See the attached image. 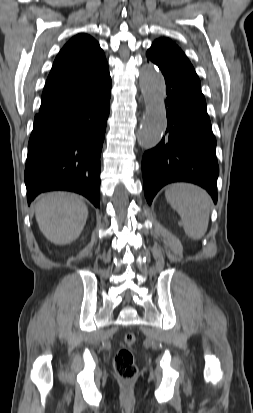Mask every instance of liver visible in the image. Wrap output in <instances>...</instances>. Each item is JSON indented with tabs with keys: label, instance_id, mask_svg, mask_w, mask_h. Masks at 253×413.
Returning a JSON list of instances; mask_svg holds the SVG:
<instances>
[{
	"label": "liver",
	"instance_id": "obj_1",
	"mask_svg": "<svg viewBox=\"0 0 253 413\" xmlns=\"http://www.w3.org/2000/svg\"><path fill=\"white\" fill-rule=\"evenodd\" d=\"M35 217L40 231L49 241L66 245L80 236L86 224L88 208L77 195L50 192L38 198Z\"/></svg>",
	"mask_w": 253,
	"mask_h": 413
}]
</instances>
